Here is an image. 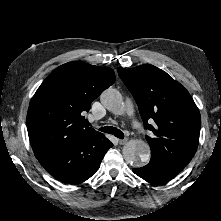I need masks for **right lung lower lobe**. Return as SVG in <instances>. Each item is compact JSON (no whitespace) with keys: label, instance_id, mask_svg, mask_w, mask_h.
I'll list each match as a JSON object with an SVG mask.
<instances>
[{"label":"right lung lower lobe","instance_id":"98d812e1","mask_svg":"<svg viewBox=\"0 0 221 221\" xmlns=\"http://www.w3.org/2000/svg\"><path fill=\"white\" fill-rule=\"evenodd\" d=\"M112 146V142L104 135H93L76 140L37 159L59 181L80 184L99 169L105 153Z\"/></svg>","mask_w":221,"mask_h":221}]
</instances>
